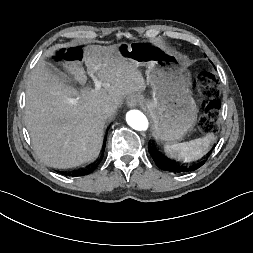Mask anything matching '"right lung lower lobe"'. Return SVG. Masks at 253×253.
I'll use <instances>...</instances> for the list:
<instances>
[{
	"label": "right lung lower lobe",
	"mask_w": 253,
	"mask_h": 253,
	"mask_svg": "<svg viewBox=\"0 0 253 253\" xmlns=\"http://www.w3.org/2000/svg\"><path fill=\"white\" fill-rule=\"evenodd\" d=\"M92 171H93V169L87 171V173H75V174H73V176H82V175H86V174L91 173Z\"/></svg>",
	"instance_id": "98d812e1"
}]
</instances>
